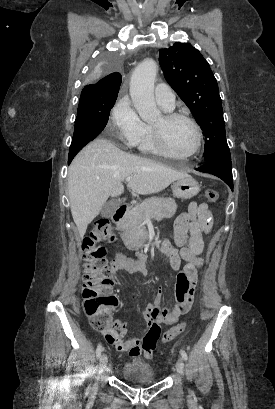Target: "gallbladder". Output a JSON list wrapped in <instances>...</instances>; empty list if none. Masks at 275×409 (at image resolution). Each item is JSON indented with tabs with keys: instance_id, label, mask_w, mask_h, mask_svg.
I'll return each mask as SVG.
<instances>
[{
	"instance_id": "gallbladder-1",
	"label": "gallbladder",
	"mask_w": 275,
	"mask_h": 409,
	"mask_svg": "<svg viewBox=\"0 0 275 409\" xmlns=\"http://www.w3.org/2000/svg\"><path fill=\"white\" fill-rule=\"evenodd\" d=\"M119 205L120 202H118V200H114V198H112V200H107V202H105V205H103L101 209V217H104V219H109V217H112V215H114Z\"/></svg>"
}]
</instances>
